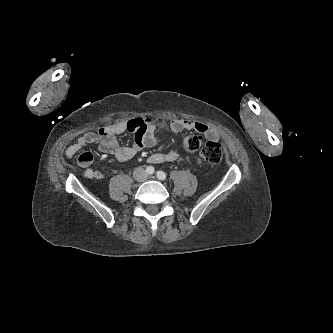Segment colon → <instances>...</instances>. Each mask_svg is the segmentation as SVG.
I'll return each mask as SVG.
<instances>
[{
    "label": "colon",
    "instance_id": "1",
    "mask_svg": "<svg viewBox=\"0 0 333 333\" xmlns=\"http://www.w3.org/2000/svg\"><path fill=\"white\" fill-rule=\"evenodd\" d=\"M183 147L187 152H195L201 149L198 158L199 163L219 164L223 159V150L217 142H207L203 145V141L199 136H188L184 139Z\"/></svg>",
    "mask_w": 333,
    "mask_h": 333
}]
</instances>
